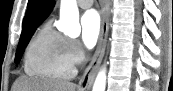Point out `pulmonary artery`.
Listing matches in <instances>:
<instances>
[{"instance_id":"1","label":"pulmonary artery","mask_w":173,"mask_h":91,"mask_svg":"<svg viewBox=\"0 0 173 91\" xmlns=\"http://www.w3.org/2000/svg\"><path fill=\"white\" fill-rule=\"evenodd\" d=\"M93 2H94L93 0H79V1H77L78 6L81 8H84V9L91 7Z\"/></svg>"}]
</instances>
